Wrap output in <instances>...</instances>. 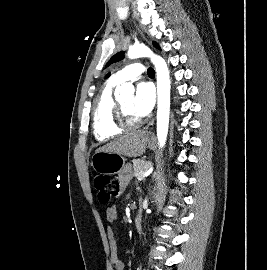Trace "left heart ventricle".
Returning a JSON list of instances; mask_svg holds the SVG:
<instances>
[{"instance_id":"obj_1","label":"left heart ventricle","mask_w":267,"mask_h":270,"mask_svg":"<svg viewBox=\"0 0 267 270\" xmlns=\"http://www.w3.org/2000/svg\"><path fill=\"white\" fill-rule=\"evenodd\" d=\"M121 106L123 107L124 111L128 115V117L132 120L139 119L138 116H136L132 110V104H133V98L129 97L127 99H124L120 102Z\"/></svg>"}]
</instances>
